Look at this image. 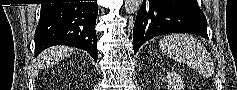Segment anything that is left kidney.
I'll use <instances>...</instances> for the list:
<instances>
[{
    "mask_svg": "<svg viewBox=\"0 0 237 90\" xmlns=\"http://www.w3.org/2000/svg\"><path fill=\"white\" fill-rule=\"evenodd\" d=\"M166 78L169 80L167 90H183V82L179 74L168 72Z\"/></svg>",
    "mask_w": 237,
    "mask_h": 90,
    "instance_id": "5707ae66",
    "label": "left kidney"
}]
</instances>
